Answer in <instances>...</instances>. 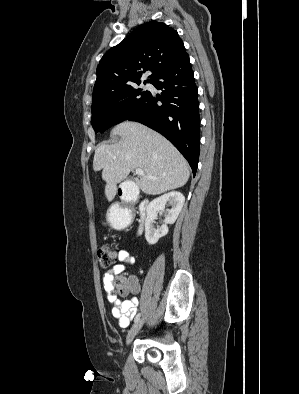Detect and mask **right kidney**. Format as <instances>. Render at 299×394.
Segmentation results:
<instances>
[{
	"mask_svg": "<svg viewBox=\"0 0 299 394\" xmlns=\"http://www.w3.org/2000/svg\"><path fill=\"white\" fill-rule=\"evenodd\" d=\"M185 202V197L182 193L172 191L164 194L149 203L147 206V218L145 220V238L150 245H154L158 240L168 233V224H173L178 218L179 213ZM169 203L172 208L164 219V224L157 229L154 227V221L157 217V212L165 209V205Z\"/></svg>",
	"mask_w": 299,
	"mask_h": 394,
	"instance_id": "obj_1",
	"label": "right kidney"
}]
</instances>
